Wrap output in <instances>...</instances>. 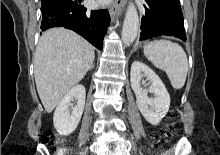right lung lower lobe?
<instances>
[{
	"instance_id": "1",
	"label": "right lung lower lobe",
	"mask_w": 220,
	"mask_h": 155,
	"mask_svg": "<svg viewBox=\"0 0 220 155\" xmlns=\"http://www.w3.org/2000/svg\"><path fill=\"white\" fill-rule=\"evenodd\" d=\"M41 29L63 26L83 36L102 49L103 38L110 24L107 10L88 11L80 0H44L41 6Z\"/></svg>"
}]
</instances>
